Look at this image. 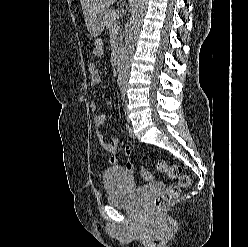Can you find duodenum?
Here are the masks:
<instances>
[{
  "instance_id": "410a0bca",
  "label": "duodenum",
  "mask_w": 248,
  "mask_h": 247,
  "mask_svg": "<svg viewBox=\"0 0 248 247\" xmlns=\"http://www.w3.org/2000/svg\"><path fill=\"white\" fill-rule=\"evenodd\" d=\"M123 60H124V52H123V51H119V52L116 54V58H115L116 68H117V70H119V71L122 69Z\"/></svg>"
}]
</instances>
